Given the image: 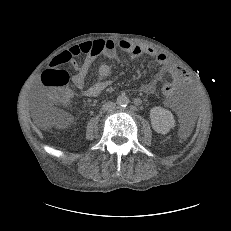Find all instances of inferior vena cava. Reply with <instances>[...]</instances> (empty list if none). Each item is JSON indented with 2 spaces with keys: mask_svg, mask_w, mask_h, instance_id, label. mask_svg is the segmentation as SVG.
Returning <instances> with one entry per match:
<instances>
[{
  "mask_svg": "<svg viewBox=\"0 0 231 231\" xmlns=\"http://www.w3.org/2000/svg\"><path fill=\"white\" fill-rule=\"evenodd\" d=\"M114 109H115V103L111 101L104 103L102 106L103 111H112Z\"/></svg>",
  "mask_w": 231,
  "mask_h": 231,
  "instance_id": "1",
  "label": "inferior vena cava"
}]
</instances>
